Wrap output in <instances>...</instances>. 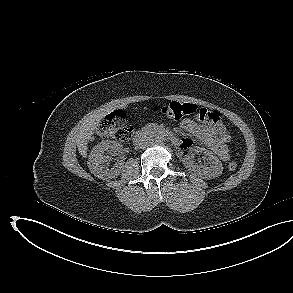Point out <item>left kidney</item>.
Instances as JSON below:
<instances>
[{
  "label": "left kidney",
  "instance_id": "obj_1",
  "mask_svg": "<svg viewBox=\"0 0 293 293\" xmlns=\"http://www.w3.org/2000/svg\"><path fill=\"white\" fill-rule=\"evenodd\" d=\"M191 152L194 153H203L204 156L207 158L208 166L207 165H197L192 160L191 154L186 155L183 164L189 170L195 172L198 176L205 178V179H212L215 177L220 176L223 171L222 163L215 156L211 151L202 148V147H194L192 148Z\"/></svg>",
  "mask_w": 293,
  "mask_h": 293
}]
</instances>
